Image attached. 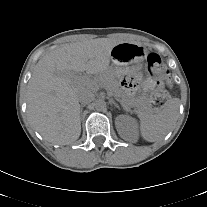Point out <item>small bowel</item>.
<instances>
[{
  "label": "small bowel",
  "instance_id": "c3829d8e",
  "mask_svg": "<svg viewBox=\"0 0 207 207\" xmlns=\"http://www.w3.org/2000/svg\"><path fill=\"white\" fill-rule=\"evenodd\" d=\"M145 87L146 88H151L152 87V83L150 81H145Z\"/></svg>",
  "mask_w": 207,
  "mask_h": 207
}]
</instances>
